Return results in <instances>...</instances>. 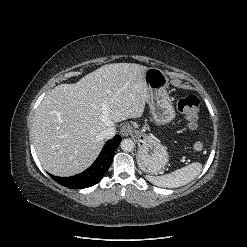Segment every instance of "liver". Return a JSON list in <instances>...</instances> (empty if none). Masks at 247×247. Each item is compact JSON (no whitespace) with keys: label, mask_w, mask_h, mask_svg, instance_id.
<instances>
[{"label":"liver","mask_w":247,"mask_h":247,"mask_svg":"<svg viewBox=\"0 0 247 247\" xmlns=\"http://www.w3.org/2000/svg\"><path fill=\"white\" fill-rule=\"evenodd\" d=\"M134 63L104 65L74 84H60L41 101L32 127L43 168L72 176L88 168L100 153L102 131L142 116L148 102L144 74Z\"/></svg>","instance_id":"obj_1"}]
</instances>
